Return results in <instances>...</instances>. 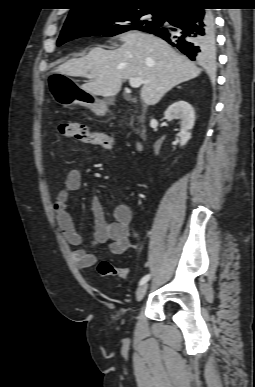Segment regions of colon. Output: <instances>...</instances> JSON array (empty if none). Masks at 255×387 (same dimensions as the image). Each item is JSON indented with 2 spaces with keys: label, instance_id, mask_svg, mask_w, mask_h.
Returning a JSON list of instances; mask_svg holds the SVG:
<instances>
[{
  "label": "colon",
  "instance_id": "obj_1",
  "mask_svg": "<svg viewBox=\"0 0 255 387\" xmlns=\"http://www.w3.org/2000/svg\"><path fill=\"white\" fill-rule=\"evenodd\" d=\"M58 130L63 137L74 139L87 145L112 149L116 143L112 134L92 132L87 126L76 122H63L59 125ZM97 270L103 277L118 276L126 279L129 276L127 268H118L107 260L100 261L97 265Z\"/></svg>",
  "mask_w": 255,
  "mask_h": 387
}]
</instances>
